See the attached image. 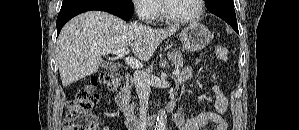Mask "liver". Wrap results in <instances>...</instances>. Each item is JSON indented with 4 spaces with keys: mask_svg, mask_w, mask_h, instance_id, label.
<instances>
[{
    "mask_svg": "<svg viewBox=\"0 0 299 130\" xmlns=\"http://www.w3.org/2000/svg\"><path fill=\"white\" fill-rule=\"evenodd\" d=\"M177 26L153 29L139 23L127 24L101 11H88L71 19L57 41V63L64 87L98 71L102 54L131 46L141 60H149L159 44L177 31Z\"/></svg>",
    "mask_w": 299,
    "mask_h": 130,
    "instance_id": "obj_1",
    "label": "liver"
}]
</instances>
